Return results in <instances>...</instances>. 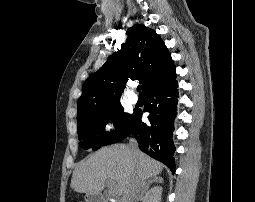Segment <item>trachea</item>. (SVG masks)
Instances as JSON below:
<instances>
[{"label":"trachea","mask_w":255,"mask_h":202,"mask_svg":"<svg viewBox=\"0 0 255 202\" xmlns=\"http://www.w3.org/2000/svg\"><path fill=\"white\" fill-rule=\"evenodd\" d=\"M141 90H142V86L139 85V86L137 87V91L139 92V94H142V93H141Z\"/></svg>","instance_id":"obj_1"}]
</instances>
